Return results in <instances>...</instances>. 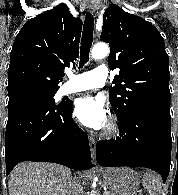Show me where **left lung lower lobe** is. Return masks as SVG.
<instances>
[{
	"mask_svg": "<svg viewBox=\"0 0 178 195\" xmlns=\"http://www.w3.org/2000/svg\"><path fill=\"white\" fill-rule=\"evenodd\" d=\"M171 118L136 113L119 120L120 137L99 141L96 159L104 167H146L166 181L171 164Z\"/></svg>",
	"mask_w": 178,
	"mask_h": 195,
	"instance_id": "left-lung-lower-lobe-1",
	"label": "left lung lower lobe"
}]
</instances>
